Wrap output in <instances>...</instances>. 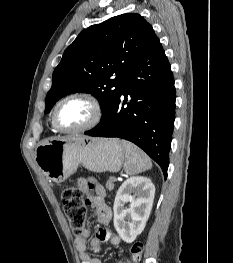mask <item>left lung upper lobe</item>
Listing matches in <instances>:
<instances>
[{"label": "left lung upper lobe", "mask_w": 233, "mask_h": 263, "mask_svg": "<svg viewBox=\"0 0 233 263\" xmlns=\"http://www.w3.org/2000/svg\"><path fill=\"white\" fill-rule=\"evenodd\" d=\"M156 37L152 26L137 13L84 29L53 72L45 113L61 97L86 92L100 101L103 118L117 101L125 76Z\"/></svg>", "instance_id": "1"}]
</instances>
